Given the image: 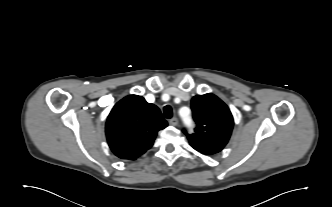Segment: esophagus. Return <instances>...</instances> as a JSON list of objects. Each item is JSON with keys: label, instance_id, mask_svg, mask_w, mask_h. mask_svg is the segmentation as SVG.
Here are the masks:
<instances>
[{"label": "esophagus", "instance_id": "esophagus-1", "mask_svg": "<svg viewBox=\"0 0 332 207\" xmlns=\"http://www.w3.org/2000/svg\"><path fill=\"white\" fill-rule=\"evenodd\" d=\"M169 124L171 126H177L178 125V119L176 117H173L169 120Z\"/></svg>", "mask_w": 332, "mask_h": 207}]
</instances>
